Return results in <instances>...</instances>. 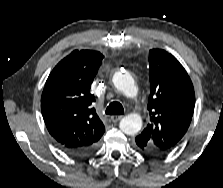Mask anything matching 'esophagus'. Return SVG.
<instances>
[{
  "mask_svg": "<svg viewBox=\"0 0 223 188\" xmlns=\"http://www.w3.org/2000/svg\"><path fill=\"white\" fill-rule=\"evenodd\" d=\"M122 118H123L122 115H114V116L111 117V121L114 122V123H116L119 120H121Z\"/></svg>",
  "mask_w": 223,
  "mask_h": 188,
  "instance_id": "34e87169",
  "label": "esophagus"
}]
</instances>
